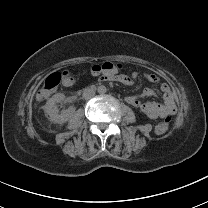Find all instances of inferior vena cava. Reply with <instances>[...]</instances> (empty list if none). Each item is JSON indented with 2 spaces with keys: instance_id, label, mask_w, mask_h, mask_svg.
I'll return each instance as SVG.
<instances>
[{
  "instance_id": "1",
  "label": "inferior vena cava",
  "mask_w": 208,
  "mask_h": 208,
  "mask_svg": "<svg viewBox=\"0 0 208 208\" xmlns=\"http://www.w3.org/2000/svg\"><path fill=\"white\" fill-rule=\"evenodd\" d=\"M95 95V91H94V89H92V88H85L84 90H83V98L84 99H90V98H92L93 96Z\"/></svg>"
}]
</instances>
